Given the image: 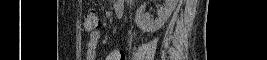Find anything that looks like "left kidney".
<instances>
[{
  "mask_svg": "<svg viewBox=\"0 0 267 60\" xmlns=\"http://www.w3.org/2000/svg\"><path fill=\"white\" fill-rule=\"evenodd\" d=\"M164 2V6L158 10V17L155 20L151 19L148 13H145L143 6L139 7L135 16L137 26L147 32L160 29L175 10L178 0H164Z\"/></svg>",
  "mask_w": 267,
  "mask_h": 60,
  "instance_id": "5707ae66",
  "label": "left kidney"
}]
</instances>
